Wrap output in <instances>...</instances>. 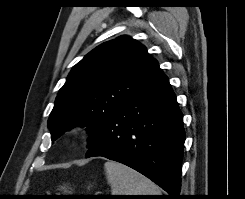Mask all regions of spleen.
<instances>
[{"label": "spleen", "instance_id": "1", "mask_svg": "<svg viewBox=\"0 0 245 199\" xmlns=\"http://www.w3.org/2000/svg\"><path fill=\"white\" fill-rule=\"evenodd\" d=\"M104 168L112 195H161L156 184L128 166L107 161Z\"/></svg>", "mask_w": 245, "mask_h": 199}]
</instances>
